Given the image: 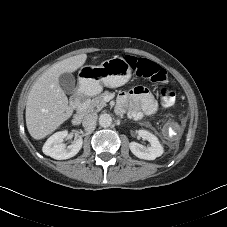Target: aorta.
I'll return each instance as SVG.
<instances>
[{"mask_svg": "<svg viewBox=\"0 0 227 227\" xmlns=\"http://www.w3.org/2000/svg\"><path fill=\"white\" fill-rule=\"evenodd\" d=\"M112 124V117L110 114L104 113L99 117V125L102 127H109Z\"/></svg>", "mask_w": 227, "mask_h": 227, "instance_id": "762f6f07", "label": "aorta"}]
</instances>
